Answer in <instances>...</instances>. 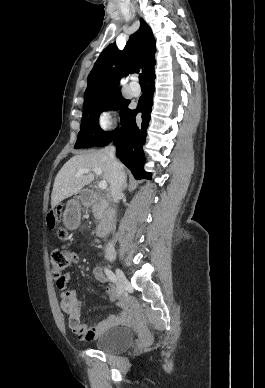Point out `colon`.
<instances>
[{
    "instance_id": "5ec220e1",
    "label": "colon",
    "mask_w": 265,
    "mask_h": 388,
    "mask_svg": "<svg viewBox=\"0 0 265 388\" xmlns=\"http://www.w3.org/2000/svg\"><path fill=\"white\" fill-rule=\"evenodd\" d=\"M50 225L55 227L57 217L55 213L50 215ZM60 236L68 238L65 230H60ZM76 254L67 248H57L51 254V272L59 290L63 291L65 285V271L76 261Z\"/></svg>"
}]
</instances>
